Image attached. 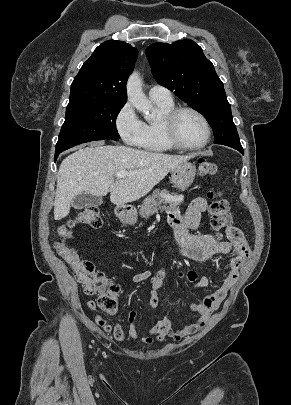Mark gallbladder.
Listing matches in <instances>:
<instances>
[{
  "instance_id": "gallbladder-1",
  "label": "gallbladder",
  "mask_w": 291,
  "mask_h": 405,
  "mask_svg": "<svg viewBox=\"0 0 291 405\" xmlns=\"http://www.w3.org/2000/svg\"><path fill=\"white\" fill-rule=\"evenodd\" d=\"M102 203H103L102 197L82 193L73 199L72 207L75 209H83L86 207H98Z\"/></svg>"
}]
</instances>
